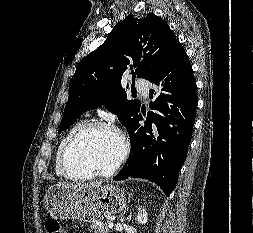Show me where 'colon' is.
<instances>
[{
	"instance_id": "1",
	"label": "colon",
	"mask_w": 253,
	"mask_h": 233,
	"mask_svg": "<svg viewBox=\"0 0 253 233\" xmlns=\"http://www.w3.org/2000/svg\"><path fill=\"white\" fill-rule=\"evenodd\" d=\"M45 233H65L60 223L55 219L45 221Z\"/></svg>"
}]
</instances>
